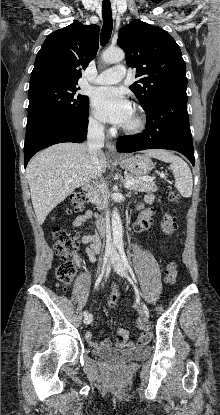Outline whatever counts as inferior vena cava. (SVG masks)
<instances>
[{
  "mask_svg": "<svg viewBox=\"0 0 220 415\" xmlns=\"http://www.w3.org/2000/svg\"><path fill=\"white\" fill-rule=\"evenodd\" d=\"M104 140L103 125L98 122H91L88 126L87 145L90 161L97 177L101 176L98 155L101 148L104 146ZM102 222L106 225V250H113L109 220L106 218L105 220H102Z\"/></svg>",
  "mask_w": 220,
  "mask_h": 415,
  "instance_id": "1",
  "label": "inferior vena cava"
}]
</instances>
